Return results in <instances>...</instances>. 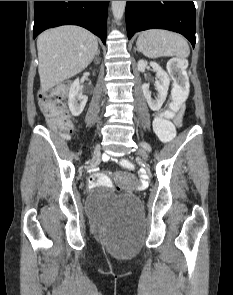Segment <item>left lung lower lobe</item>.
I'll return each mask as SVG.
<instances>
[{
    "label": "left lung lower lobe",
    "instance_id": "obj_1",
    "mask_svg": "<svg viewBox=\"0 0 233 295\" xmlns=\"http://www.w3.org/2000/svg\"><path fill=\"white\" fill-rule=\"evenodd\" d=\"M127 35L162 28L181 33L195 46V6L193 1H127Z\"/></svg>",
    "mask_w": 233,
    "mask_h": 295
}]
</instances>
